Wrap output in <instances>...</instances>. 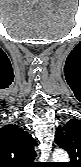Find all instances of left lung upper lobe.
<instances>
[{
	"label": "left lung upper lobe",
	"instance_id": "left-lung-upper-lobe-1",
	"mask_svg": "<svg viewBox=\"0 0 81 167\" xmlns=\"http://www.w3.org/2000/svg\"><path fill=\"white\" fill-rule=\"evenodd\" d=\"M56 144L69 153L71 161L68 167H79L81 161V120L71 119L57 128Z\"/></svg>",
	"mask_w": 81,
	"mask_h": 167
}]
</instances>
